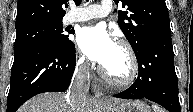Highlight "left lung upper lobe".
Wrapping results in <instances>:
<instances>
[{"label":"left lung upper lobe","mask_w":193,"mask_h":112,"mask_svg":"<svg viewBox=\"0 0 193 112\" xmlns=\"http://www.w3.org/2000/svg\"><path fill=\"white\" fill-rule=\"evenodd\" d=\"M127 11L118 12V25L135 54L156 36L171 33L165 0H114Z\"/></svg>","instance_id":"left-lung-upper-lobe-1"}]
</instances>
